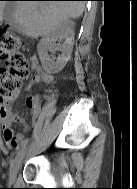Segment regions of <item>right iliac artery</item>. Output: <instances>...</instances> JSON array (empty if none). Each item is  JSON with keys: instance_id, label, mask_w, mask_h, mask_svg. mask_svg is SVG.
Listing matches in <instances>:
<instances>
[{"instance_id": "1", "label": "right iliac artery", "mask_w": 137, "mask_h": 189, "mask_svg": "<svg viewBox=\"0 0 137 189\" xmlns=\"http://www.w3.org/2000/svg\"><path fill=\"white\" fill-rule=\"evenodd\" d=\"M27 145V142L24 143L20 148L17 149V153H19L21 150L25 149Z\"/></svg>"}]
</instances>
